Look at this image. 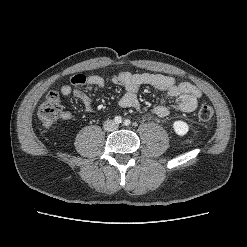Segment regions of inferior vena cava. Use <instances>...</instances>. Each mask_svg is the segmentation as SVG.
<instances>
[{
    "label": "inferior vena cava",
    "instance_id": "602c4592",
    "mask_svg": "<svg viewBox=\"0 0 247 247\" xmlns=\"http://www.w3.org/2000/svg\"><path fill=\"white\" fill-rule=\"evenodd\" d=\"M103 126L106 131H113L116 129V124L112 120H106Z\"/></svg>",
    "mask_w": 247,
    "mask_h": 247
}]
</instances>
